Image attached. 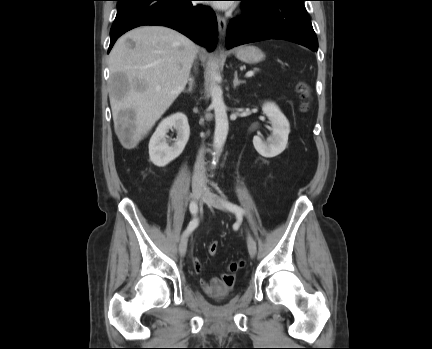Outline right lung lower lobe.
<instances>
[{"mask_svg":"<svg viewBox=\"0 0 432 349\" xmlns=\"http://www.w3.org/2000/svg\"><path fill=\"white\" fill-rule=\"evenodd\" d=\"M117 15L110 30V46L125 32L143 25H161L175 29L196 43L214 50L217 20L214 12L196 6L192 0H117Z\"/></svg>","mask_w":432,"mask_h":349,"instance_id":"98d812e1","label":"right lung lower lobe"}]
</instances>
